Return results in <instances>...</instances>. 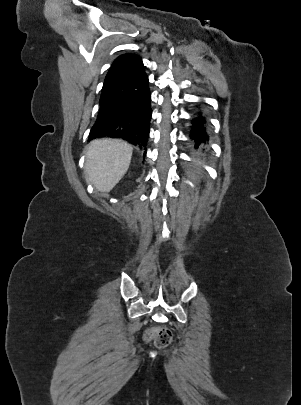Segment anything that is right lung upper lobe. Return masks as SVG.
Here are the masks:
<instances>
[{
  "mask_svg": "<svg viewBox=\"0 0 301 405\" xmlns=\"http://www.w3.org/2000/svg\"><path fill=\"white\" fill-rule=\"evenodd\" d=\"M138 59L139 57L135 54L120 55L110 67V70L105 78L102 90L108 88L114 82H116Z\"/></svg>",
  "mask_w": 301,
  "mask_h": 405,
  "instance_id": "cb5924a9",
  "label": "right lung upper lobe"
}]
</instances>
